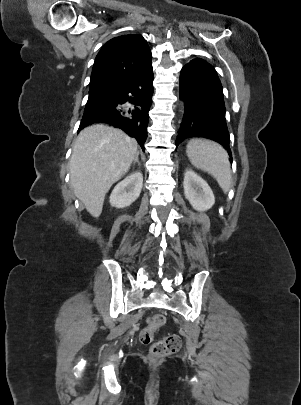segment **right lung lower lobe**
<instances>
[{"label": "right lung lower lobe", "mask_w": 301, "mask_h": 405, "mask_svg": "<svg viewBox=\"0 0 301 405\" xmlns=\"http://www.w3.org/2000/svg\"><path fill=\"white\" fill-rule=\"evenodd\" d=\"M151 61L119 88L106 102L84 111L79 130L93 123H107L136 138L142 149L147 137L149 110L153 94ZM126 102L133 106H124Z\"/></svg>", "instance_id": "right-lung-lower-lobe-1"}]
</instances>
